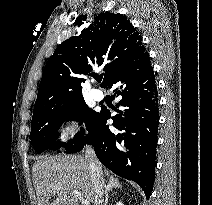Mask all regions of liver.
<instances>
[{
	"label": "liver",
	"mask_w": 212,
	"mask_h": 205,
	"mask_svg": "<svg viewBox=\"0 0 212 205\" xmlns=\"http://www.w3.org/2000/svg\"><path fill=\"white\" fill-rule=\"evenodd\" d=\"M104 173L109 180H115L108 170ZM32 175L38 205H78L73 190L96 205L91 170L85 156H43L33 164ZM59 185L61 188L57 190ZM53 193L57 196L50 202Z\"/></svg>",
	"instance_id": "liver-1"
}]
</instances>
